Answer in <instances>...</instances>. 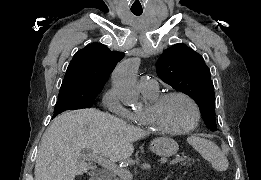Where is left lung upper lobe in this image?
<instances>
[{
	"label": "left lung upper lobe",
	"mask_w": 261,
	"mask_h": 180,
	"mask_svg": "<svg viewBox=\"0 0 261 180\" xmlns=\"http://www.w3.org/2000/svg\"><path fill=\"white\" fill-rule=\"evenodd\" d=\"M156 70L165 83L196 101L206 126L216 131L214 87L202 56L178 43L162 53Z\"/></svg>",
	"instance_id": "1"
}]
</instances>
